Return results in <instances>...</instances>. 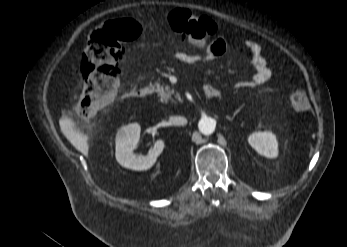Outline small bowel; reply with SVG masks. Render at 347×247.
Here are the masks:
<instances>
[{
	"label": "small bowel",
	"mask_w": 347,
	"mask_h": 247,
	"mask_svg": "<svg viewBox=\"0 0 347 247\" xmlns=\"http://www.w3.org/2000/svg\"><path fill=\"white\" fill-rule=\"evenodd\" d=\"M198 47L201 49L200 53L191 54L180 51L175 54V58L181 63L190 65L216 60L226 53L228 43L225 38L219 36L198 45ZM245 47L251 54L255 73L249 80L239 82L238 87H255L262 85L267 82L272 75V71L268 65L267 59L263 55L262 47L259 43L253 40H247L245 42ZM206 87H212L219 92L217 88L211 85H207Z\"/></svg>",
	"instance_id": "obj_1"
}]
</instances>
